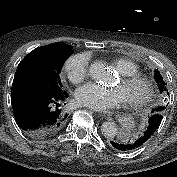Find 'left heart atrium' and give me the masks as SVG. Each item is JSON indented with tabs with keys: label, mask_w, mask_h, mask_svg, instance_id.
<instances>
[{
	"label": "left heart atrium",
	"mask_w": 177,
	"mask_h": 177,
	"mask_svg": "<svg viewBox=\"0 0 177 177\" xmlns=\"http://www.w3.org/2000/svg\"><path fill=\"white\" fill-rule=\"evenodd\" d=\"M75 98L80 105L98 111L120 106L125 101L119 88H108L96 83H88L79 87L75 92Z\"/></svg>",
	"instance_id": "obj_1"
}]
</instances>
